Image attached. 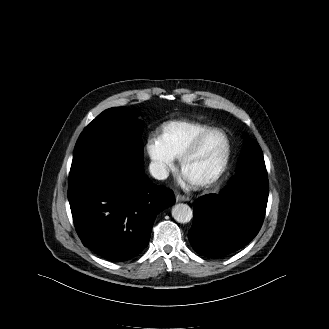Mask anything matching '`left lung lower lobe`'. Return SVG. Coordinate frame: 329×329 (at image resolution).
Returning <instances> with one entry per match:
<instances>
[{
  "label": "left lung lower lobe",
  "mask_w": 329,
  "mask_h": 329,
  "mask_svg": "<svg viewBox=\"0 0 329 329\" xmlns=\"http://www.w3.org/2000/svg\"><path fill=\"white\" fill-rule=\"evenodd\" d=\"M268 193L266 167H260L237 171L219 194L198 198L188 233L192 248L215 258L246 246L261 228Z\"/></svg>",
  "instance_id": "0a47b994"
}]
</instances>
